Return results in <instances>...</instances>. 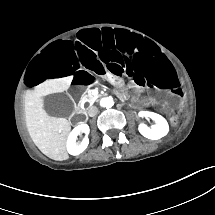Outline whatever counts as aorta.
Instances as JSON below:
<instances>
[{"instance_id": "1", "label": "aorta", "mask_w": 215, "mask_h": 215, "mask_svg": "<svg viewBox=\"0 0 215 215\" xmlns=\"http://www.w3.org/2000/svg\"><path fill=\"white\" fill-rule=\"evenodd\" d=\"M114 105V100L111 96L103 97L100 100V106L104 108H111Z\"/></svg>"}]
</instances>
